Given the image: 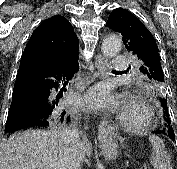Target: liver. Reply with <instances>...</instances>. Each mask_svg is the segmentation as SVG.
Wrapping results in <instances>:
<instances>
[{"label":"liver","instance_id":"obj_1","mask_svg":"<svg viewBox=\"0 0 177 169\" xmlns=\"http://www.w3.org/2000/svg\"><path fill=\"white\" fill-rule=\"evenodd\" d=\"M62 130L24 131L12 135L0 149V169H60L59 142ZM91 143L80 141L79 158L84 162Z\"/></svg>","mask_w":177,"mask_h":169}]
</instances>
